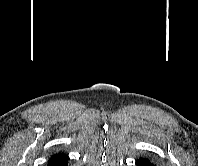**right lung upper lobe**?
Listing matches in <instances>:
<instances>
[{"instance_id":"1","label":"right lung upper lobe","mask_w":198,"mask_h":166,"mask_svg":"<svg viewBox=\"0 0 198 166\" xmlns=\"http://www.w3.org/2000/svg\"><path fill=\"white\" fill-rule=\"evenodd\" d=\"M59 154H62V153H58V154H55V155H59Z\"/></svg>"}]
</instances>
